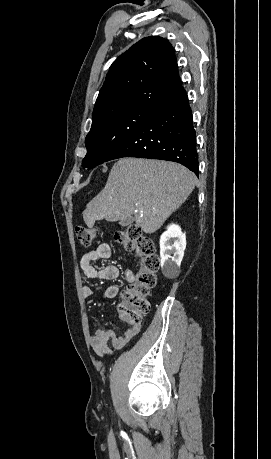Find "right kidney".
Returning a JSON list of instances; mask_svg holds the SVG:
<instances>
[{"mask_svg":"<svg viewBox=\"0 0 271 459\" xmlns=\"http://www.w3.org/2000/svg\"><path fill=\"white\" fill-rule=\"evenodd\" d=\"M186 247V235L180 226L171 224L160 237V265L165 277H177Z\"/></svg>","mask_w":271,"mask_h":459,"instance_id":"obj_1","label":"right kidney"}]
</instances>
